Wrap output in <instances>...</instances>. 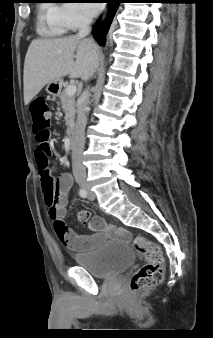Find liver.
I'll return each mask as SVG.
<instances>
[{"instance_id":"1","label":"liver","mask_w":213,"mask_h":338,"mask_svg":"<svg viewBox=\"0 0 213 338\" xmlns=\"http://www.w3.org/2000/svg\"><path fill=\"white\" fill-rule=\"evenodd\" d=\"M99 66V47L92 39L69 36L35 39L24 62V103L46 85L64 76L87 81Z\"/></svg>"}]
</instances>
